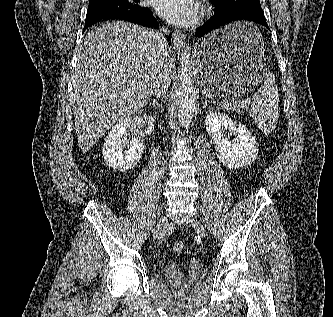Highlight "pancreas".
<instances>
[{
    "label": "pancreas",
    "mask_w": 333,
    "mask_h": 317,
    "mask_svg": "<svg viewBox=\"0 0 333 317\" xmlns=\"http://www.w3.org/2000/svg\"><path fill=\"white\" fill-rule=\"evenodd\" d=\"M219 106L223 109V110H227V111H237L239 109H244L245 105L242 104H238V103H229L227 101H224L222 103L219 104Z\"/></svg>",
    "instance_id": "1"
}]
</instances>
